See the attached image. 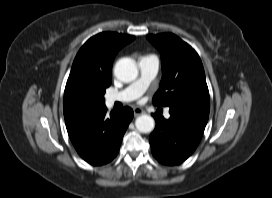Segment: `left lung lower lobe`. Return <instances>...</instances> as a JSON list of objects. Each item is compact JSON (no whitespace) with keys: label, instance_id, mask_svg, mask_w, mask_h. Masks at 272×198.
I'll use <instances>...</instances> for the list:
<instances>
[{"label":"left lung lower lobe","instance_id":"0a47b994","mask_svg":"<svg viewBox=\"0 0 272 198\" xmlns=\"http://www.w3.org/2000/svg\"><path fill=\"white\" fill-rule=\"evenodd\" d=\"M170 118L153 115L155 130L149 141L153 156L162 164L177 165L186 160L197 148L208 121L209 113L172 106Z\"/></svg>","mask_w":272,"mask_h":198}]
</instances>
